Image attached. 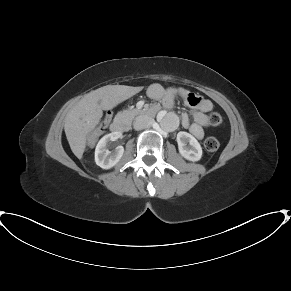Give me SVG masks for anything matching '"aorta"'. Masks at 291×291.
Instances as JSON below:
<instances>
[{"label":"aorta","instance_id":"obj_1","mask_svg":"<svg viewBox=\"0 0 291 291\" xmlns=\"http://www.w3.org/2000/svg\"><path fill=\"white\" fill-rule=\"evenodd\" d=\"M158 120L161 128L166 132L174 131L179 125V119L173 113L159 115Z\"/></svg>","mask_w":291,"mask_h":291}]
</instances>
